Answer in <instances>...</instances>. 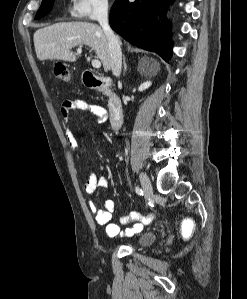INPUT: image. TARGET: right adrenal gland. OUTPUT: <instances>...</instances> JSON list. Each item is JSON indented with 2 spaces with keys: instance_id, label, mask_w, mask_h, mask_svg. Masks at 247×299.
<instances>
[{
  "instance_id": "2a0ac1e0",
  "label": "right adrenal gland",
  "mask_w": 247,
  "mask_h": 299,
  "mask_svg": "<svg viewBox=\"0 0 247 299\" xmlns=\"http://www.w3.org/2000/svg\"><path fill=\"white\" fill-rule=\"evenodd\" d=\"M123 74L125 75L126 71H127V63H126V59L125 56H123Z\"/></svg>"
}]
</instances>
